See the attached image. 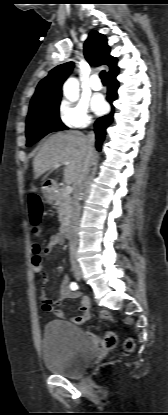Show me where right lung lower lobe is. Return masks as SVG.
Instances as JSON below:
<instances>
[{
  "label": "right lung lower lobe",
  "instance_id": "98d812e1",
  "mask_svg": "<svg viewBox=\"0 0 168 415\" xmlns=\"http://www.w3.org/2000/svg\"><path fill=\"white\" fill-rule=\"evenodd\" d=\"M118 75V71L113 72L112 74L108 75L109 78V85L107 91V101L111 104L118 96L117 90L119 87V82L117 81L116 77ZM113 111L104 117H100L96 120L95 126V133H96V148L98 151H101L102 143L105 139L106 129L111 124L113 120Z\"/></svg>",
  "mask_w": 168,
  "mask_h": 415
}]
</instances>
